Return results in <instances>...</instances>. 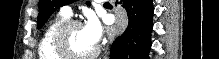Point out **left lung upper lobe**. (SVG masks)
Wrapping results in <instances>:
<instances>
[{
    "label": "left lung upper lobe",
    "instance_id": "obj_1",
    "mask_svg": "<svg viewBox=\"0 0 219 59\" xmlns=\"http://www.w3.org/2000/svg\"><path fill=\"white\" fill-rule=\"evenodd\" d=\"M74 1L75 0H40L37 28L39 29L56 9ZM87 5H90V3L87 2Z\"/></svg>",
    "mask_w": 219,
    "mask_h": 59
}]
</instances>
